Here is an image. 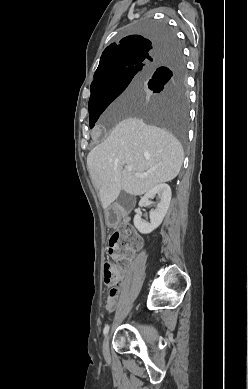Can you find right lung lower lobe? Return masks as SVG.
Segmentation results:
<instances>
[{"label": "right lung lower lobe", "instance_id": "obj_1", "mask_svg": "<svg viewBox=\"0 0 248 389\" xmlns=\"http://www.w3.org/2000/svg\"><path fill=\"white\" fill-rule=\"evenodd\" d=\"M171 40L175 41V43L169 44L170 46H172L171 50L174 49V48H176V47H179V45H178V43H177L175 37H174L173 39H172V38H171V39L160 38V39H156V40H153V41H155V42H166V41H171ZM158 69H159V68H158ZM158 69H156V70L153 72V75H155V74H164L165 71H166V70H163V69H160V70H158Z\"/></svg>", "mask_w": 248, "mask_h": 389}]
</instances>
